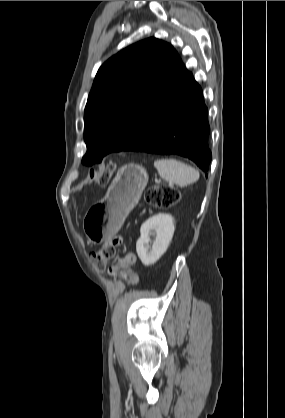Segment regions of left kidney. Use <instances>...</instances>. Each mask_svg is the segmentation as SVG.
<instances>
[{
    "instance_id": "obj_1",
    "label": "left kidney",
    "mask_w": 285,
    "mask_h": 418,
    "mask_svg": "<svg viewBox=\"0 0 285 418\" xmlns=\"http://www.w3.org/2000/svg\"><path fill=\"white\" fill-rule=\"evenodd\" d=\"M174 231V219L171 215L165 213L156 214L141 225L140 238L136 242V251L145 266L156 263L166 252ZM152 235H155L153 242L150 239Z\"/></svg>"
}]
</instances>
